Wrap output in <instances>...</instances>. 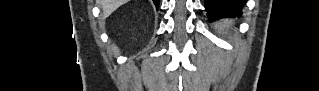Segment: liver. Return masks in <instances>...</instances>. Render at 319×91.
Instances as JSON below:
<instances>
[{
	"label": "liver",
	"mask_w": 319,
	"mask_h": 91,
	"mask_svg": "<svg viewBox=\"0 0 319 91\" xmlns=\"http://www.w3.org/2000/svg\"><path fill=\"white\" fill-rule=\"evenodd\" d=\"M99 2L103 10V16L108 17L121 5L127 3L128 0H99Z\"/></svg>",
	"instance_id": "liver-1"
}]
</instances>
